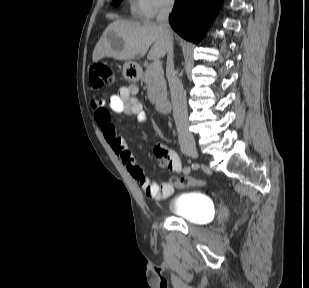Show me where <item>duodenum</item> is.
<instances>
[{
  "label": "duodenum",
  "instance_id": "1",
  "mask_svg": "<svg viewBox=\"0 0 309 288\" xmlns=\"http://www.w3.org/2000/svg\"><path fill=\"white\" fill-rule=\"evenodd\" d=\"M171 107L170 101L168 99H161L158 102V109L161 113L166 114L169 112Z\"/></svg>",
  "mask_w": 309,
  "mask_h": 288
}]
</instances>
